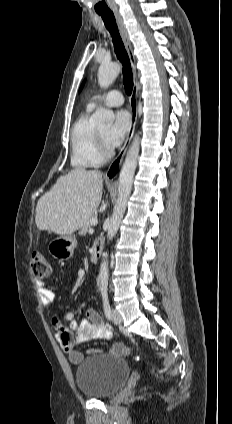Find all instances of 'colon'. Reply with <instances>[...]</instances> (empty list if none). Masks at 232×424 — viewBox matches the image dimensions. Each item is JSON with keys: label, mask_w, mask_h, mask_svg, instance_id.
<instances>
[{"label": "colon", "mask_w": 232, "mask_h": 424, "mask_svg": "<svg viewBox=\"0 0 232 424\" xmlns=\"http://www.w3.org/2000/svg\"><path fill=\"white\" fill-rule=\"evenodd\" d=\"M31 269L33 275L39 279H50L53 274L52 266L50 265L46 256L39 250L34 251L32 254ZM114 348H122V352L126 355H128L130 353L129 351L131 350V347L128 345V343L121 338L114 343Z\"/></svg>", "instance_id": "obj_1"}]
</instances>
